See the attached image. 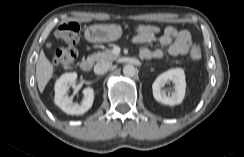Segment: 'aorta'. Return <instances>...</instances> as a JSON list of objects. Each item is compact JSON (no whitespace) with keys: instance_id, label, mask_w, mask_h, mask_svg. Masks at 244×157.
<instances>
[{"instance_id":"aorta-1","label":"aorta","mask_w":244,"mask_h":157,"mask_svg":"<svg viewBox=\"0 0 244 157\" xmlns=\"http://www.w3.org/2000/svg\"><path fill=\"white\" fill-rule=\"evenodd\" d=\"M136 73V69L133 65L128 64L125 65L123 68V74L127 77H133Z\"/></svg>"}]
</instances>
